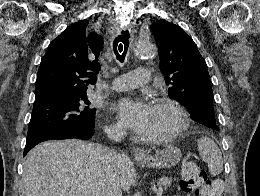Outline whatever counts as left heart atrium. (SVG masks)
<instances>
[{
    "mask_svg": "<svg viewBox=\"0 0 260 196\" xmlns=\"http://www.w3.org/2000/svg\"><path fill=\"white\" fill-rule=\"evenodd\" d=\"M120 121L137 133H145L148 129L152 104L145 100L123 98L116 105ZM119 190H91V192H118Z\"/></svg>",
    "mask_w": 260,
    "mask_h": 196,
    "instance_id": "left-heart-atrium-1",
    "label": "left heart atrium"
}]
</instances>
